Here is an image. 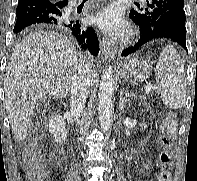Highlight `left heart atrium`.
Returning <instances> with one entry per match:
<instances>
[{
    "instance_id": "39dd6f15",
    "label": "left heart atrium",
    "mask_w": 197,
    "mask_h": 181,
    "mask_svg": "<svg viewBox=\"0 0 197 181\" xmlns=\"http://www.w3.org/2000/svg\"><path fill=\"white\" fill-rule=\"evenodd\" d=\"M94 21L110 34L121 35L126 29L122 12L120 8L115 5L108 6L100 11L94 18Z\"/></svg>"
}]
</instances>
